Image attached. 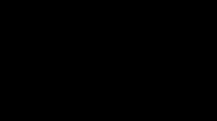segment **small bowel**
<instances>
[{"mask_svg":"<svg viewBox=\"0 0 217 121\" xmlns=\"http://www.w3.org/2000/svg\"><path fill=\"white\" fill-rule=\"evenodd\" d=\"M167 1H168V0H167ZM167 1H165V4H162V5H163L162 7H168V6H167L168 3L166 4ZM72 22H73V23H76L77 21H76V20H75V21L73 20Z\"/></svg>","mask_w":217,"mask_h":121,"instance_id":"c3829d8e","label":"small bowel"}]
</instances>
